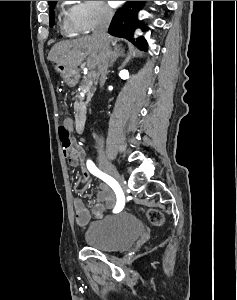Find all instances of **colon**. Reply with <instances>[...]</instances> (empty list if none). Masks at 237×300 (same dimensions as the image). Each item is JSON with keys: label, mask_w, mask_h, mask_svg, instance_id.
Returning a JSON list of instances; mask_svg holds the SVG:
<instances>
[{"label": "colon", "mask_w": 237, "mask_h": 300, "mask_svg": "<svg viewBox=\"0 0 237 300\" xmlns=\"http://www.w3.org/2000/svg\"><path fill=\"white\" fill-rule=\"evenodd\" d=\"M59 138L64 151L73 149L77 143L71 136L70 131L66 129L63 124L59 127ZM149 221L154 225H161L163 222V216L160 211L156 209H149L146 212Z\"/></svg>", "instance_id": "colon-1"}]
</instances>
